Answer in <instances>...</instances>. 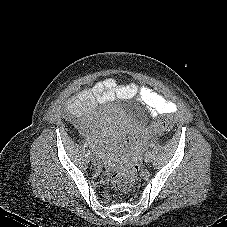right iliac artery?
<instances>
[{"mask_svg":"<svg viewBox=\"0 0 227 227\" xmlns=\"http://www.w3.org/2000/svg\"><path fill=\"white\" fill-rule=\"evenodd\" d=\"M83 145H84V147H87L88 146V144L86 142H84Z\"/></svg>","mask_w":227,"mask_h":227,"instance_id":"right-iliac-artery-1","label":"right iliac artery"}]
</instances>
